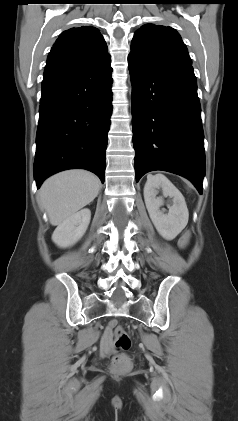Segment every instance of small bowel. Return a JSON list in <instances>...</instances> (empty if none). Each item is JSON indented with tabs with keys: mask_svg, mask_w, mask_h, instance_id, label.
<instances>
[{
	"mask_svg": "<svg viewBox=\"0 0 238 421\" xmlns=\"http://www.w3.org/2000/svg\"><path fill=\"white\" fill-rule=\"evenodd\" d=\"M111 343H112V339H111V336L109 335L108 330H107V332L103 336L102 342H101L102 349L104 350V352L108 353L110 351Z\"/></svg>",
	"mask_w": 238,
	"mask_h": 421,
	"instance_id": "1",
	"label": "small bowel"
}]
</instances>
